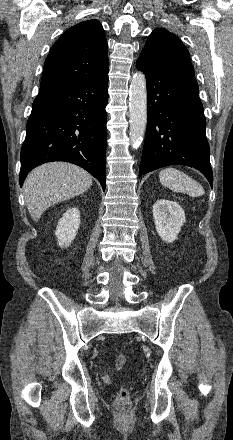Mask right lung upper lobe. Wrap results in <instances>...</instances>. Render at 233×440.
<instances>
[{
  "label": "right lung upper lobe",
  "instance_id": "right-lung-upper-lobe-1",
  "mask_svg": "<svg viewBox=\"0 0 233 440\" xmlns=\"http://www.w3.org/2000/svg\"><path fill=\"white\" fill-rule=\"evenodd\" d=\"M108 71L107 41L97 20L68 29L46 58L40 91L68 87L100 77Z\"/></svg>",
  "mask_w": 233,
  "mask_h": 440
}]
</instances>
